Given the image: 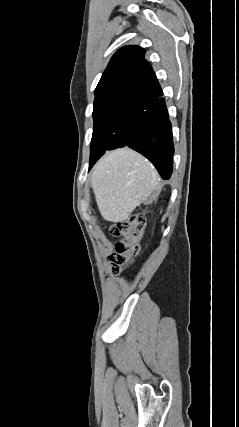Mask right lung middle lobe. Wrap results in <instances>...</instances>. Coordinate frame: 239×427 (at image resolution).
I'll use <instances>...</instances> for the list:
<instances>
[{
	"label": "right lung middle lobe",
	"mask_w": 239,
	"mask_h": 427,
	"mask_svg": "<svg viewBox=\"0 0 239 427\" xmlns=\"http://www.w3.org/2000/svg\"><path fill=\"white\" fill-rule=\"evenodd\" d=\"M146 99L126 97L94 103L90 166L107 151L123 146L136 118L145 110Z\"/></svg>",
	"instance_id": "obj_1"
}]
</instances>
